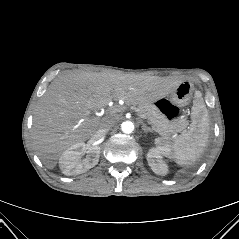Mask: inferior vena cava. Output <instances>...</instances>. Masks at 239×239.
<instances>
[{"instance_id":"inferior-vena-cava-1","label":"inferior vena cava","mask_w":239,"mask_h":239,"mask_svg":"<svg viewBox=\"0 0 239 239\" xmlns=\"http://www.w3.org/2000/svg\"><path fill=\"white\" fill-rule=\"evenodd\" d=\"M113 125L112 121H105L101 124V126L99 127V129L96 131V134L98 136H102L104 135L107 131H109V129L111 128V126Z\"/></svg>"}]
</instances>
